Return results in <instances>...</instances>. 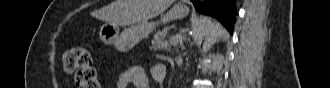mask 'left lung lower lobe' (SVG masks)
I'll return each instance as SVG.
<instances>
[{
    "label": "left lung lower lobe",
    "mask_w": 330,
    "mask_h": 88,
    "mask_svg": "<svg viewBox=\"0 0 330 88\" xmlns=\"http://www.w3.org/2000/svg\"><path fill=\"white\" fill-rule=\"evenodd\" d=\"M191 1L198 11L216 17L232 34L234 17L237 13L235 0H211L209 3H200L198 0Z\"/></svg>",
    "instance_id": "left-lung-lower-lobe-1"
}]
</instances>
